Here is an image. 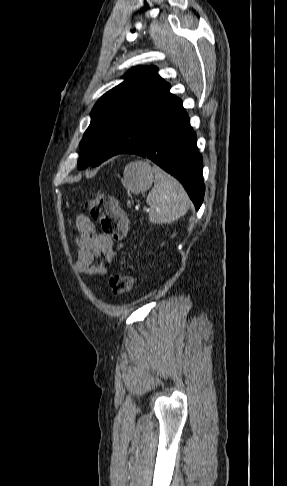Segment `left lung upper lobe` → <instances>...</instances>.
Wrapping results in <instances>:
<instances>
[{"mask_svg":"<svg viewBox=\"0 0 287 486\" xmlns=\"http://www.w3.org/2000/svg\"><path fill=\"white\" fill-rule=\"evenodd\" d=\"M124 78L92 109L91 123L80 142L86 147L78 161L80 169L138 147L181 102L169 92L170 85L158 75L157 67H135Z\"/></svg>","mask_w":287,"mask_h":486,"instance_id":"obj_1","label":"left lung upper lobe"}]
</instances>
